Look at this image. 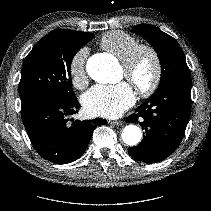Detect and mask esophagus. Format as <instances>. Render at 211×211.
<instances>
[{"mask_svg": "<svg viewBox=\"0 0 211 211\" xmlns=\"http://www.w3.org/2000/svg\"><path fill=\"white\" fill-rule=\"evenodd\" d=\"M109 123L112 125H116V126H120L123 124L122 121H120V120L109 121Z\"/></svg>", "mask_w": 211, "mask_h": 211, "instance_id": "34e87169", "label": "esophagus"}]
</instances>
